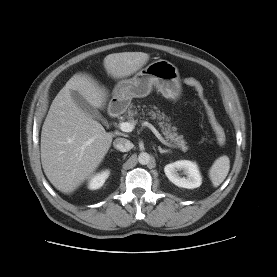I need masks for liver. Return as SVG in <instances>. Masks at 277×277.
Returning a JSON list of instances; mask_svg holds the SVG:
<instances>
[{
	"instance_id": "obj_1",
	"label": "liver",
	"mask_w": 277,
	"mask_h": 277,
	"mask_svg": "<svg viewBox=\"0 0 277 277\" xmlns=\"http://www.w3.org/2000/svg\"><path fill=\"white\" fill-rule=\"evenodd\" d=\"M149 59L143 52L109 54L103 64L113 78L128 77ZM71 91L79 92L94 108H103L106 90L89 75L77 73L54 98L41 132V163L51 184L63 193H72L96 171L113 137L93 117L78 107Z\"/></svg>"
}]
</instances>
